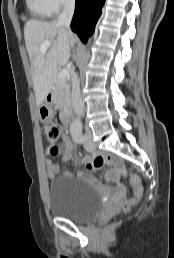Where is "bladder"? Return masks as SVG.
Listing matches in <instances>:
<instances>
[{"instance_id": "bladder-1", "label": "bladder", "mask_w": 174, "mask_h": 258, "mask_svg": "<svg viewBox=\"0 0 174 258\" xmlns=\"http://www.w3.org/2000/svg\"><path fill=\"white\" fill-rule=\"evenodd\" d=\"M48 206L53 215L84 222L100 214L102 198L82 177L63 174L50 186Z\"/></svg>"}]
</instances>
